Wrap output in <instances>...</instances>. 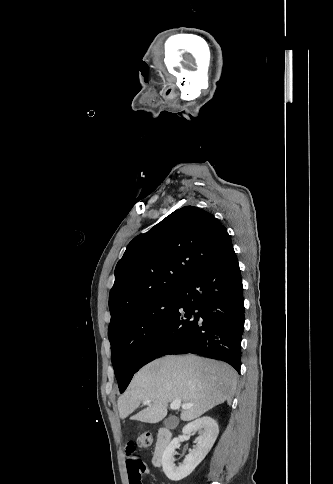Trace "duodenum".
<instances>
[{"mask_svg": "<svg viewBox=\"0 0 333 484\" xmlns=\"http://www.w3.org/2000/svg\"><path fill=\"white\" fill-rule=\"evenodd\" d=\"M171 439H172V434L168 429L166 428L160 429L158 433L155 452H154V462L156 465H160L161 460L164 456V452L168 444L170 443Z\"/></svg>", "mask_w": 333, "mask_h": 484, "instance_id": "410a0bca", "label": "duodenum"}]
</instances>
